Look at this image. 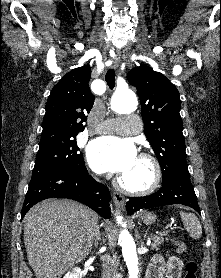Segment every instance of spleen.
Listing matches in <instances>:
<instances>
[{
  "instance_id": "1",
  "label": "spleen",
  "mask_w": 221,
  "mask_h": 278,
  "mask_svg": "<svg viewBox=\"0 0 221 278\" xmlns=\"http://www.w3.org/2000/svg\"><path fill=\"white\" fill-rule=\"evenodd\" d=\"M185 229L189 232L191 237L195 240L202 236V227L199 219L192 213L180 212Z\"/></svg>"
}]
</instances>
